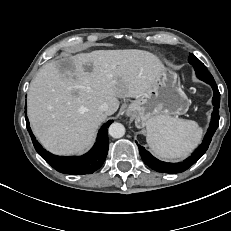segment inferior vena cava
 <instances>
[{
    "label": "inferior vena cava",
    "mask_w": 231,
    "mask_h": 231,
    "mask_svg": "<svg viewBox=\"0 0 231 231\" xmlns=\"http://www.w3.org/2000/svg\"><path fill=\"white\" fill-rule=\"evenodd\" d=\"M99 110L103 113H105L106 115H110L111 114V110L108 106V104L103 103L99 106Z\"/></svg>",
    "instance_id": "obj_1"
}]
</instances>
